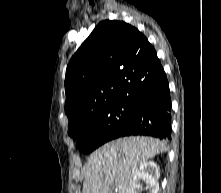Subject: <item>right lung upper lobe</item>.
Returning a JSON list of instances; mask_svg holds the SVG:
<instances>
[{"mask_svg":"<svg viewBox=\"0 0 221 193\" xmlns=\"http://www.w3.org/2000/svg\"><path fill=\"white\" fill-rule=\"evenodd\" d=\"M153 46L123 21L100 22L66 69L68 132L80 119L123 99H137L161 68Z\"/></svg>","mask_w":221,"mask_h":193,"instance_id":"right-lung-upper-lobe-1","label":"right lung upper lobe"}]
</instances>
